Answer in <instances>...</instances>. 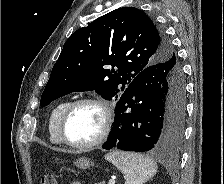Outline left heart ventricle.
<instances>
[{
	"label": "left heart ventricle",
	"mask_w": 224,
	"mask_h": 184,
	"mask_svg": "<svg viewBox=\"0 0 224 184\" xmlns=\"http://www.w3.org/2000/svg\"><path fill=\"white\" fill-rule=\"evenodd\" d=\"M101 110L91 104H82L74 109L66 124L67 137L74 143L83 144L94 140L101 128Z\"/></svg>",
	"instance_id": "b2bd125f"
}]
</instances>
